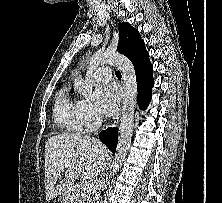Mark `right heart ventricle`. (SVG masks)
Listing matches in <instances>:
<instances>
[{"label":"right heart ventricle","instance_id":"1","mask_svg":"<svg viewBox=\"0 0 222 203\" xmlns=\"http://www.w3.org/2000/svg\"><path fill=\"white\" fill-rule=\"evenodd\" d=\"M56 123L68 132H80L83 124L79 112V101L69 95L68 90L62 89L54 107Z\"/></svg>","mask_w":222,"mask_h":203}]
</instances>
